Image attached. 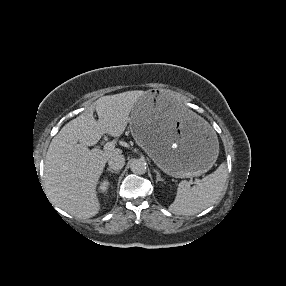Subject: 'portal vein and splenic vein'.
Here are the masks:
<instances>
[{"instance_id": "1", "label": "portal vein and splenic vein", "mask_w": 286, "mask_h": 286, "mask_svg": "<svg viewBox=\"0 0 286 286\" xmlns=\"http://www.w3.org/2000/svg\"><path fill=\"white\" fill-rule=\"evenodd\" d=\"M114 148H115V143L114 142H107L104 145V150L107 151V152L114 150ZM190 183L193 184V181L191 180Z\"/></svg>"}]
</instances>
